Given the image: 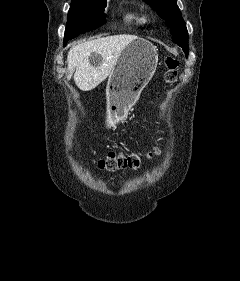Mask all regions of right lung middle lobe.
<instances>
[{"instance_id":"1","label":"right lung middle lobe","mask_w":240,"mask_h":281,"mask_svg":"<svg viewBox=\"0 0 240 281\" xmlns=\"http://www.w3.org/2000/svg\"><path fill=\"white\" fill-rule=\"evenodd\" d=\"M106 0H72L65 29L66 42L105 23Z\"/></svg>"}]
</instances>
